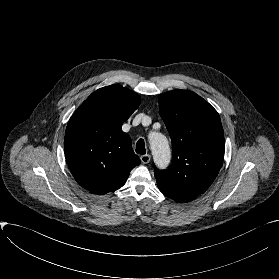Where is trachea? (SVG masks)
I'll list each match as a JSON object with an SVG mask.
<instances>
[{"label": "trachea", "mask_w": 279, "mask_h": 279, "mask_svg": "<svg viewBox=\"0 0 279 279\" xmlns=\"http://www.w3.org/2000/svg\"><path fill=\"white\" fill-rule=\"evenodd\" d=\"M136 153L146 154L145 143L143 139H139L136 144Z\"/></svg>", "instance_id": "trachea-1"}]
</instances>
